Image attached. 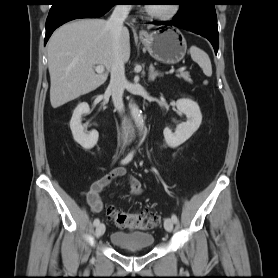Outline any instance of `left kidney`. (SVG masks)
Masks as SVG:
<instances>
[{"label":"left kidney","mask_w":278,"mask_h":278,"mask_svg":"<svg viewBox=\"0 0 278 278\" xmlns=\"http://www.w3.org/2000/svg\"><path fill=\"white\" fill-rule=\"evenodd\" d=\"M179 112L187 117V121L178 125L173 133L166 127L163 131L165 142L171 148H176L188 140L199 128L202 114L198 104L191 99H179L176 102Z\"/></svg>","instance_id":"left-kidney-1"}]
</instances>
